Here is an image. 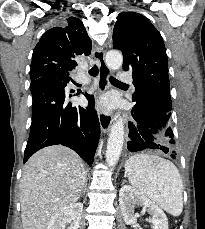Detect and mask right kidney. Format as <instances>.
<instances>
[{
  "instance_id": "1",
  "label": "right kidney",
  "mask_w": 205,
  "mask_h": 229,
  "mask_svg": "<svg viewBox=\"0 0 205 229\" xmlns=\"http://www.w3.org/2000/svg\"><path fill=\"white\" fill-rule=\"evenodd\" d=\"M83 211L82 203H75L59 210L50 220L47 229H64L67 223L73 221L70 229H76Z\"/></svg>"
}]
</instances>
